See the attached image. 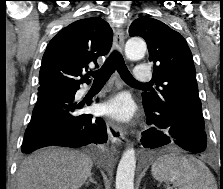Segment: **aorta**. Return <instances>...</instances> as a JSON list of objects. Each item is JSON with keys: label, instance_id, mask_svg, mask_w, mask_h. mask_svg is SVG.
<instances>
[{"label": "aorta", "instance_id": "1", "mask_svg": "<svg viewBox=\"0 0 223 189\" xmlns=\"http://www.w3.org/2000/svg\"><path fill=\"white\" fill-rule=\"evenodd\" d=\"M147 50L143 39L130 38L125 45V55L129 60H139L144 57ZM136 168L135 150L128 147L118 164L116 173V189H134V175Z\"/></svg>", "mask_w": 223, "mask_h": 189}]
</instances>
